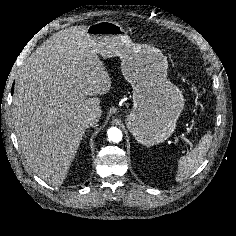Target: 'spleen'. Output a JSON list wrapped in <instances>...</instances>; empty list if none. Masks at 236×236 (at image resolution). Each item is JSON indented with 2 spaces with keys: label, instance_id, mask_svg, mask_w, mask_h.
I'll return each mask as SVG.
<instances>
[{
  "label": "spleen",
  "instance_id": "1",
  "mask_svg": "<svg viewBox=\"0 0 236 236\" xmlns=\"http://www.w3.org/2000/svg\"><path fill=\"white\" fill-rule=\"evenodd\" d=\"M211 142L212 135L210 133L205 134L189 154L179 159L178 172L175 177L177 182L188 178L199 168L210 148Z\"/></svg>",
  "mask_w": 236,
  "mask_h": 236
}]
</instances>
